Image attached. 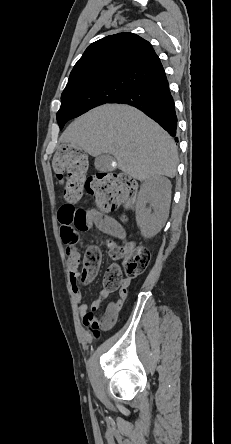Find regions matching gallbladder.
<instances>
[{"label":"gallbladder","mask_w":231,"mask_h":444,"mask_svg":"<svg viewBox=\"0 0 231 444\" xmlns=\"http://www.w3.org/2000/svg\"><path fill=\"white\" fill-rule=\"evenodd\" d=\"M111 161L112 160L108 155H100L95 159V168L99 171L112 170V168L109 165L105 164V162L109 164Z\"/></svg>","instance_id":"bac80fb5"}]
</instances>
